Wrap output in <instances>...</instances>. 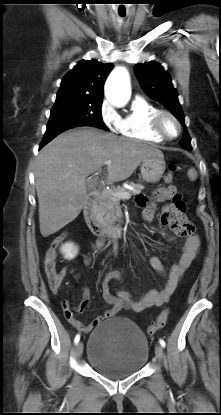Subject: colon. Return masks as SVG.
<instances>
[{
	"label": "colon",
	"instance_id": "colon-1",
	"mask_svg": "<svg viewBox=\"0 0 221 415\" xmlns=\"http://www.w3.org/2000/svg\"><path fill=\"white\" fill-rule=\"evenodd\" d=\"M174 170L175 166L171 164L169 166V171L164 176V181L167 184L172 182ZM64 238V233L55 237L45 254L44 271L49 287L53 292H57L60 289L62 281L66 274L65 270H58L56 267L57 248ZM168 316L169 310H163L161 314L157 317L156 321L148 327V334H153L159 329L163 328L167 323Z\"/></svg>",
	"mask_w": 221,
	"mask_h": 415
}]
</instances>
